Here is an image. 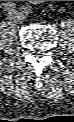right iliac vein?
I'll list each match as a JSON object with an SVG mask.
<instances>
[{
	"mask_svg": "<svg viewBox=\"0 0 74 122\" xmlns=\"http://www.w3.org/2000/svg\"><path fill=\"white\" fill-rule=\"evenodd\" d=\"M12 17H13V15H12ZM16 17H18V14H16Z\"/></svg>",
	"mask_w": 74,
	"mask_h": 122,
	"instance_id": "63e3f726",
	"label": "right iliac vein"
}]
</instances>
